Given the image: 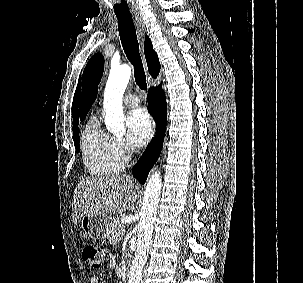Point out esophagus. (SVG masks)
<instances>
[{"instance_id":"esophagus-1","label":"esophagus","mask_w":303,"mask_h":283,"mask_svg":"<svg viewBox=\"0 0 303 283\" xmlns=\"http://www.w3.org/2000/svg\"><path fill=\"white\" fill-rule=\"evenodd\" d=\"M134 22H135V26L137 28L140 43H141V46H142L143 37L145 35V25H144V22H143V20L140 16H135L134 17Z\"/></svg>"}]
</instances>
